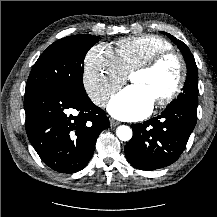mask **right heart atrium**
Listing matches in <instances>:
<instances>
[{
    "instance_id": "1",
    "label": "right heart atrium",
    "mask_w": 217,
    "mask_h": 217,
    "mask_svg": "<svg viewBox=\"0 0 217 217\" xmlns=\"http://www.w3.org/2000/svg\"><path fill=\"white\" fill-rule=\"evenodd\" d=\"M126 77L116 55L106 45H95L87 52L83 84L95 105L104 107L111 95L124 84Z\"/></svg>"
}]
</instances>
